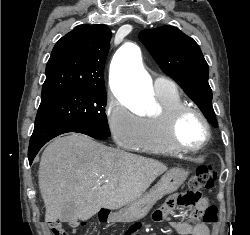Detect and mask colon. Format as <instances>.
Wrapping results in <instances>:
<instances>
[{
	"instance_id": "colon-1",
	"label": "colon",
	"mask_w": 250,
	"mask_h": 235,
	"mask_svg": "<svg viewBox=\"0 0 250 235\" xmlns=\"http://www.w3.org/2000/svg\"><path fill=\"white\" fill-rule=\"evenodd\" d=\"M216 181V173L210 166L198 167L191 177L188 190L180 196V202L188 206L196 205L201 199V192L213 188ZM203 222L214 224L217 222V208L208 207L202 217ZM53 235H70L68 228L59 221L49 222Z\"/></svg>"
}]
</instances>
